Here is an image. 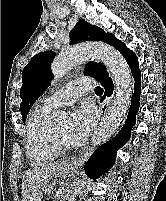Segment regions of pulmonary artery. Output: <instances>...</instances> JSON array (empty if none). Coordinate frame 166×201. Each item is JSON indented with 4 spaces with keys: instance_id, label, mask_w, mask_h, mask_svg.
<instances>
[{
    "instance_id": "e3ab8cb5",
    "label": "pulmonary artery",
    "mask_w": 166,
    "mask_h": 201,
    "mask_svg": "<svg viewBox=\"0 0 166 201\" xmlns=\"http://www.w3.org/2000/svg\"><path fill=\"white\" fill-rule=\"evenodd\" d=\"M95 82L90 78H82L66 84L44 100L49 108L63 107L75 103L83 93L91 90Z\"/></svg>"
}]
</instances>
